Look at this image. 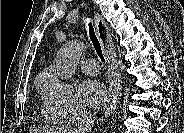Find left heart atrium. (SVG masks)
Masks as SVG:
<instances>
[{
	"mask_svg": "<svg viewBox=\"0 0 184 133\" xmlns=\"http://www.w3.org/2000/svg\"><path fill=\"white\" fill-rule=\"evenodd\" d=\"M78 95L85 105L93 108L101 106L106 100L104 85L95 79L84 80L79 85Z\"/></svg>",
	"mask_w": 184,
	"mask_h": 133,
	"instance_id": "1",
	"label": "left heart atrium"
}]
</instances>
